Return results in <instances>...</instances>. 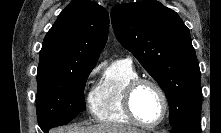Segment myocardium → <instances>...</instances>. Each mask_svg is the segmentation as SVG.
<instances>
[{
    "mask_svg": "<svg viewBox=\"0 0 221 133\" xmlns=\"http://www.w3.org/2000/svg\"><path fill=\"white\" fill-rule=\"evenodd\" d=\"M151 85L156 89V91L159 93L162 101V113L160 118L154 122V123H146L139 119L137 114L134 111L133 106V99L136 91L142 86V85ZM124 109L128 117L137 125L144 127V128H154L159 126L166 118L168 109H169V103L168 98L166 95V92L164 91L163 87L155 80L149 79V78H137L133 81H131L124 92Z\"/></svg>",
    "mask_w": 221,
    "mask_h": 133,
    "instance_id": "1",
    "label": "myocardium"
}]
</instances>
